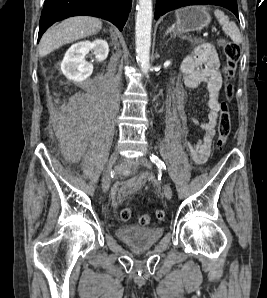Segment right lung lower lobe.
<instances>
[{"label": "right lung lower lobe", "mask_w": 267, "mask_h": 298, "mask_svg": "<svg viewBox=\"0 0 267 298\" xmlns=\"http://www.w3.org/2000/svg\"><path fill=\"white\" fill-rule=\"evenodd\" d=\"M132 0H45L38 41L48 27L68 17L86 15L106 19L122 31Z\"/></svg>", "instance_id": "98d812e1"}]
</instances>
